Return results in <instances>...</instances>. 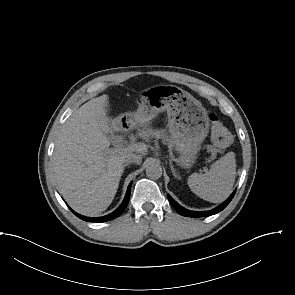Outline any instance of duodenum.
<instances>
[{"label": "duodenum", "instance_id": "obj_1", "mask_svg": "<svg viewBox=\"0 0 295 295\" xmlns=\"http://www.w3.org/2000/svg\"><path fill=\"white\" fill-rule=\"evenodd\" d=\"M128 124L126 121H121L120 124H119V134L120 136L123 138V140H127L128 139V136H129V133H128Z\"/></svg>", "mask_w": 295, "mask_h": 295}]
</instances>
